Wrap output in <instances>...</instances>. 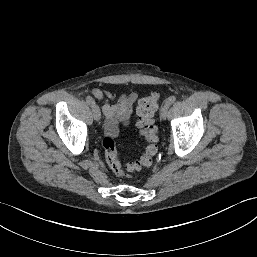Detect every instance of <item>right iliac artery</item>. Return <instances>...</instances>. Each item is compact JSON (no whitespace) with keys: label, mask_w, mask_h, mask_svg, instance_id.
I'll use <instances>...</instances> for the list:
<instances>
[{"label":"right iliac artery","mask_w":257,"mask_h":257,"mask_svg":"<svg viewBox=\"0 0 257 257\" xmlns=\"http://www.w3.org/2000/svg\"><path fill=\"white\" fill-rule=\"evenodd\" d=\"M86 102L93 108L95 105V101L91 96L86 97Z\"/></svg>","instance_id":"82829eb1"}]
</instances>
